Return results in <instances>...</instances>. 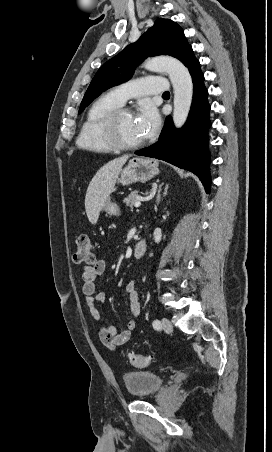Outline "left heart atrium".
Here are the masks:
<instances>
[{"instance_id": "39dd6f15", "label": "left heart atrium", "mask_w": 272, "mask_h": 452, "mask_svg": "<svg viewBox=\"0 0 272 452\" xmlns=\"http://www.w3.org/2000/svg\"><path fill=\"white\" fill-rule=\"evenodd\" d=\"M160 118L157 110L151 105H145L140 115V132L143 137L152 136L158 129Z\"/></svg>"}]
</instances>
